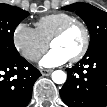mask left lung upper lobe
<instances>
[{
  "mask_svg": "<svg viewBox=\"0 0 107 107\" xmlns=\"http://www.w3.org/2000/svg\"><path fill=\"white\" fill-rule=\"evenodd\" d=\"M68 11H75L90 32V45L87 51L107 42V13L87 3H74L63 7Z\"/></svg>",
  "mask_w": 107,
  "mask_h": 107,
  "instance_id": "left-lung-upper-lobe-1",
  "label": "left lung upper lobe"
}]
</instances>
